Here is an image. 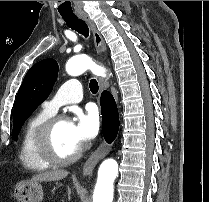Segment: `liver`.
Wrapping results in <instances>:
<instances>
[{
  "instance_id": "obj_1",
  "label": "liver",
  "mask_w": 209,
  "mask_h": 202,
  "mask_svg": "<svg viewBox=\"0 0 209 202\" xmlns=\"http://www.w3.org/2000/svg\"><path fill=\"white\" fill-rule=\"evenodd\" d=\"M69 174L66 170H54L44 173L37 174L31 178L30 181L41 182V181H58L61 180Z\"/></svg>"
}]
</instances>
